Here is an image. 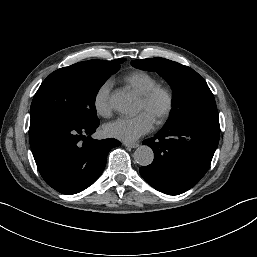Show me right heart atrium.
I'll return each instance as SVG.
<instances>
[{"instance_id": "obj_1", "label": "right heart atrium", "mask_w": 257, "mask_h": 257, "mask_svg": "<svg viewBox=\"0 0 257 257\" xmlns=\"http://www.w3.org/2000/svg\"><path fill=\"white\" fill-rule=\"evenodd\" d=\"M111 89L112 82L107 80L99 86L94 95L93 105L100 116L107 117L112 113Z\"/></svg>"}]
</instances>
